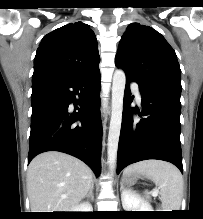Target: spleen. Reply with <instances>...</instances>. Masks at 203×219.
Here are the masks:
<instances>
[{"instance_id": "spleen-1", "label": "spleen", "mask_w": 203, "mask_h": 219, "mask_svg": "<svg viewBox=\"0 0 203 219\" xmlns=\"http://www.w3.org/2000/svg\"><path fill=\"white\" fill-rule=\"evenodd\" d=\"M132 173L146 175L159 187L163 211L180 210L183 178L175 166L161 160H145L128 166L123 174Z\"/></svg>"}]
</instances>
